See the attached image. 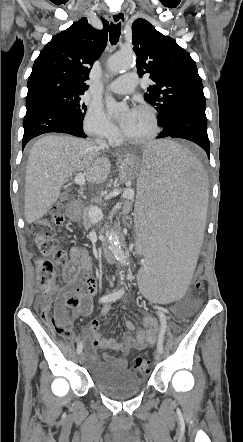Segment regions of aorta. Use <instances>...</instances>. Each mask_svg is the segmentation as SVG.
Listing matches in <instances>:
<instances>
[{
  "label": "aorta",
  "mask_w": 243,
  "mask_h": 442,
  "mask_svg": "<svg viewBox=\"0 0 243 442\" xmlns=\"http://www.w3.org/2000/svg\"><path fill=\"white\" fill-rule=\"evenodd\" d=\"M134 66V57L131 52L127 53H116L112 55L108 61V70L112 74H117L126 70H129ZM106 108L110 115H116L119 112L127 108L126 103L116 102L111 96L106 97ZM106 238L110 244L111 252L116 257L117 260L125 262L127 259V254L124 251L122 244L120 242L119 236L112 228L106 230Z\"/></svg>",
  "instance_id": "obj_1"
}]
</instances>
